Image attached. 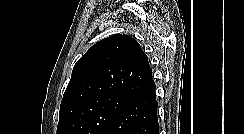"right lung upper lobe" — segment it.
<instances>
[{
  "instance_id": "right-lung-upper-lobe-1",
  "label": "right lung upper lobe",
  "mask_w": 244,
  "mask_h": 134,
  "mask_svg": "<svg viewBox=\"0 0 244 134\" xmlns=\"http://www.w3.org/2000/svg\"><path fill=\"white\" fill-rule=\"evenodd\" d=\"M155 88L148 58L128 35H114L93 45L74 65L59 119L80 104L118 96L133 99Z\"/></svg>"
}]
</instances>
